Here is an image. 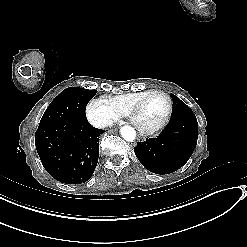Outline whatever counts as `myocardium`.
Masks as SVG:
<instances>
[{
    "label": "myocardium",
    "instance_id": "obj_1",
    "mask_svg": "<svg viewBox=\"0 0 247 247\" xmlns=\"http://www.w3.org/2000/svg\"><path fill=\"white\" fill-rule=\"evenodd\" d=\"M153 95H161L164 98H166L167 100V106H166V111L165 114L163 116V118L156 124H149L146 125L144 124V116H143V103L144 100H139L134 104V107L136 108L137 112H138V116L133 120L134 124L136 126V128L139 130V132L141 134H152L156 131H158L159 129H161L162 127L165 126V124L169 121L171 115H172V99L171 97L166 94L163 91L160 90H151L148 94H147V98Z\"/></svg>",
    "mask_w": 247,
    "mask_h": 247
}]
</instances>
